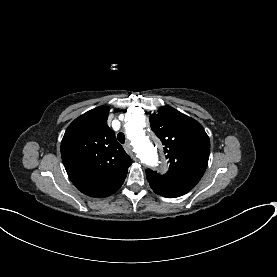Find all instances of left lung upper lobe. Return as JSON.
Returning a JSON list of instances; mask_svg holds the SVG:
<instances>
[{"label": "left lung upper lobe", "instance_id": "1", "mask_svg": "<svg viewBox=\"0 0 277 277\" xmlns=\"http://www.w3.org/2000/svg\"><path fill=\"white\" fill-rule=\"evenodd\" d=\"M149 119L151 129L164 145L170 166L164 175L147 169V180L158 195L182 196L199 182L206 170L209 137L199 122L170 106H162Z\"/></svg>", "mask_w": 277, "mask_h": 277}]
</instances>
